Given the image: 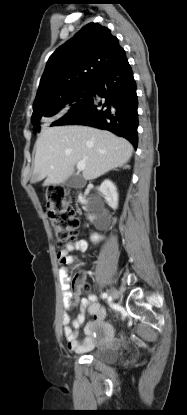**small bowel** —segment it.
Here are the masks:
<instances>
[{
  "label": "small bowel",
  "instance_id": "c3829d8e",
  "mask_svg": "<svg viewBox=\"0 0 187 415\" xmlns=\"http://www.w3.org/2000/svg\"><path fill=\"white\" fill-rule=\"evenodd\" d=\"M87 247L85 240H75L61 249L58 257L67 263H72L73 257L70 253L73 251L84 252L87 250ZM59 277L65 309L70 311L74 306L80 304V312L72 321L68 314H64L62 317L63 332L68 348L74 352L82 353L90 351L95 347L115 346L118 341L114 338L112 326L105 320V309L99 304L95 294L89 293L87 297L80 299L78 293L71 290L67 269L61 268ZM80 284H82V281H80ZM85 313L92 317V321L86 324L84 329L86 336L83 340H80L78 338V330L85 321Z\"/></svg>",
  "mask_w": 187,
  "mask_h": 415
}]
</instances>
